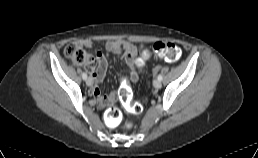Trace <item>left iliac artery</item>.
<instances>
[{"label":"left iliac artery","mask_w":258,"mask_h":158,"mask_svg":"<svg viewBox=\"0 0 258 158\" xmlns=\"http://www.w3.org/2000/svg\"><path fill=\"white\" fill-rule=\"evenodd\" d=\"M162 79H163L162 75L159 74V75H158V80H159V81H162Z\"/></svg>","instance_id":"44dca946"}]
</instances>
